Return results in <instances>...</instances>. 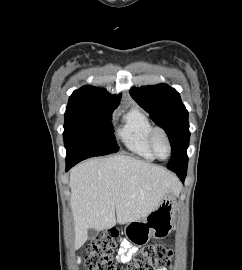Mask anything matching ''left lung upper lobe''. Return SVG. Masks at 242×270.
I'll use <instances>...</instances> for the list:
<instances>
[{
	"mask_svg": "<svg viewBox=\"0 0 242 270\" xmlns=\"http://www.w3.org/2000/svg\"><path fill=\"white\" fill-rule=\"evenodd\" d=\"M130 93L169 137L172 155L167 168L176 173L187 172L186 151L190 138L188 111L179 93L166 84L134 88Z\"/></svg>",
	"mask_w": 242,
	"mask_h": 270,
	"instance_id": "obj_1",
	"label": "left lung upper lobe"
}]
</instances>
